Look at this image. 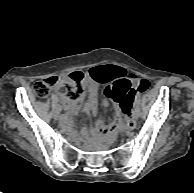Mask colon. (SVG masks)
Segmentation results:
<instances>
[{
	"label": "colon",
	"mask_w": 194,
	"mask_h": 193,
	"mask_svg": "<svg viewBox=\"0 0 194 193\" xmlns=\"http://www.w3.org/2000/svg\"><path fill=\"white\" fill-rule=\"evenodd\" d=\"M83 77L84 76L81 71H75L62 77H50L46 80L35 82L32 85V90L38 97H45L52 87L61 86L64 98L66 100L74 101L79 99L82 95L81 82L83 80ZM145 85V82L141 81L138 84V88L143 89ZM119 87L123 89L124 93L129 95H133L135 89L137 88L133 85V81L131 78L122 74L117 78V81L113 85L107 87L106 94L111 98H115L117 89ZM123 107L126 108L125 103L123 104ZM126 126H132L129 115L126 120Z\"/></svg>",
	"instance_id": "obj_1"
}]
</instances>
